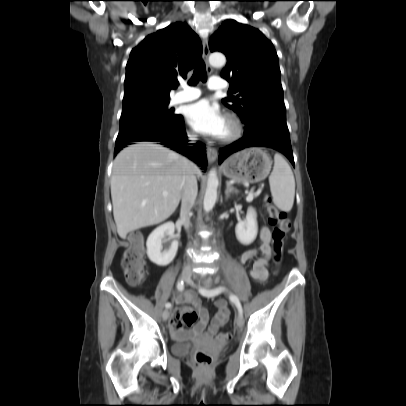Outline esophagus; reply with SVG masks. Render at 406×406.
I'll use <instances>...</instances> for the list:
<instances>
[{
    "mask_svg": "<svg viewBox=\"0 0 406 406\" xmlns=\"http://www.w3.org/2000/svg\"><path fill=\"white\" fill-rule=\"evenodd\" d=\"M209 45H208V38L205 37L203 40V59L206 63L207 66V71L208 73H212V67L210 66L208 62V57H209ZM218 152L217 150L212 147V146H207V159L209 163L214 162L217 159Z\"/></svg>",
    "mask_w": 406,
    "mask_h": 406,
    "instance_id": "obj_1",
    "label": "esophagus"
}]
</instances>
